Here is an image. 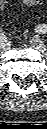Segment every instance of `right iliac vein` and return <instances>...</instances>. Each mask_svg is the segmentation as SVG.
Returning a JSON list of instances; mask_svg holds the SVG:
<instances>
[{
  "label": "right iliac vein",
  "instance_id": "1",
  "mask_svg": "<svg viewBox=\"0 0 47 129\" xmlns=\"http://www.w3.org/2000/svg\"><path fill=\"white\" fill-rule=\"evenodd\" d=\"M0 49L2 50V51H7L8 49H10V44H9V42H3V43H1L0 44Z\"/></svg>",
  "mask_w": 47,
  "mask_h": 129
}]
</instances>
